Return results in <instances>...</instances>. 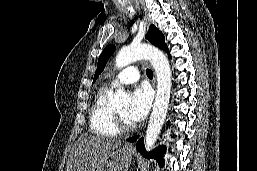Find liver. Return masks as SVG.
<instances>
[{
    "instance_id": "6515ba94",
    "label": "liver",
    "mask_w": 257,
    "mask_h": 171,
    "mask_svg": "<svg viewBox=\"0 0 257 171\" xmlns=\"http://www.w3.org/2000/svg\"><path fill=\"white\" fill-rule=\"evenodd\" d=\"M122 141L100 136L80 138L71 150L66 171H96L102 160Z\"/></svg>"
}]
</instances>
